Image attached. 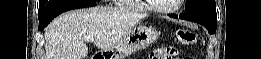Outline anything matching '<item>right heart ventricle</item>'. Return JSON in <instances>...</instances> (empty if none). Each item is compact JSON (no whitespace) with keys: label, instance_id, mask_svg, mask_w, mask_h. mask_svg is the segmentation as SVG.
<instances>
[{"label":"right heart ventricle","instance_id":"e07e8e85","mask_svg":"<svg viewBox=\"0 0 261 59\" xmlns=\"http://www.w3.org/2000/svg\"><path fill=\"white\" fill-rule=\"evenodd\" d=\"M117 3L121 4V5H125V6H131V7H136V3L133 0H118ZM139 10L143 11L145 10L142 7H138Z\"/></svg>","mask_w":261,"mask_h":59}]
</instances>
